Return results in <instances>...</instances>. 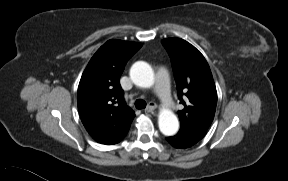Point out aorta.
<instances>
[{
	"label": "aorta",
	"mask_w": 288,
	"mask_h": 181,
	"mask_svg": "<svg viewBox=\"0 0 288 181\" xmlns=\"http://www.w3.org/2000/svg\"><path fill=\"white\" fill-rule=\"evenodd\" d=\"M130 77L133 83L139 87L149 88L154 84V72L151 66L143 61L132 65ZM158 126L162 134L172 136L179 129V121L171 110L162 109L158 116Z\"/></svg>",
	"instance_id": "762f6f07"
}]
</instances>
